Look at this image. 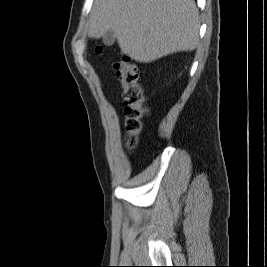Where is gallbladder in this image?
I'll list each match as a JSON object with an SVG mask.
<instances>
[{
    "instance_id": "gallbladder-1",
    "label": "gallbladder",
    "mask_w": 267,
    "mask_h": 267,
    "mask_svg": "<svg viewBox=\"0 0 267 267\" xmlns=\"http://www.w3.org/2000/svg\"><path fill=\"white\" fill-rule=\"evenodd\" d=\"M115 42V34L112 30H109L103 35V43L106 46H112Z\"/></svg>"
}]
</instances>
